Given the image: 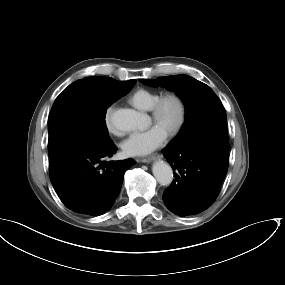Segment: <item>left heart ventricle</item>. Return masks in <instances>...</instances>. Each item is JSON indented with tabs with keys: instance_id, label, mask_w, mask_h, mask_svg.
I'll use <instances>...</instances> for the list:
<instances>
[{
	"instance_id": "left-heart-ventricle-1",
	"label": "left heart ventricle",
	"mask_w": 285,
	"mask_h": 285,
	"mask_svg": "<svg viewBox=\"0 0 285 285\" xmlns=\"http://www.w3.org/2000/svg\"><path fill=\"white\" fill-rule=\"evenodd\" d=\"M179 110L176 102L169 101L163 108L161 118L158 122H155L152 118L151 121L160 125L166 132L174 125L178 118Z\"/></svg>"
}]
</instances>
